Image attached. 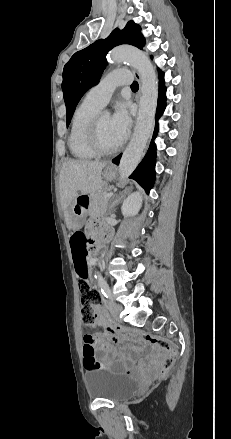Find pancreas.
Masks as SVG:
<instances>
[{
    "label": "pancreas",
    "instance_id": "pancreas-1",
    "mask_svg": "<svg viewBox=\"0 0 231 439\" xmlns=\"http://www.w3.org/2000/svg\"><path fill=\"white\" fill-rule=\"evenodd\" d=\"M105 192H98L92 195L90 208H89V216L95 217L101 215L105 212L108 204V198H105Z\"/></svg>",
    "mask_w": 231,
    "mask_h": 439
}]
</instances>
